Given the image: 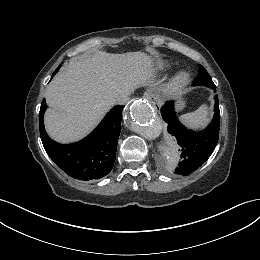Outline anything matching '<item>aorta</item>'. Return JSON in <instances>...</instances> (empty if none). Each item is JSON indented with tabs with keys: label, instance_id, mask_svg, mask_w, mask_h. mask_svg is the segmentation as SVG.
<instances>
[{
	"label": "aorta",
	"instance_id": "aorta-1",
	"mask_svg": "<svg viewBox=\"0 0 260 260\" xmlns=\"http://www.w3.org/2000/svg\"><path fill=\"white\" fill-rule=\"evenodd\" d=\"M126 123L132 131L149 140L157 138L164 129L155 118L151 105L142 99H136L131 103L126 113ZM167 143L172 149L171 155L173 156L178 148L177 143L169 137Z\"/></svg>",
	"mask_w": 260,
	"mask_h": 260
}]
</instances>
